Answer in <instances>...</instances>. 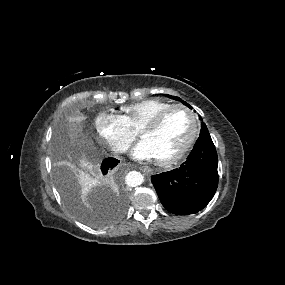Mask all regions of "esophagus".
I'll return each mask as SVG.
<instances>
[{
	"label": "esophagus",
	"mask_w": 285,
	"mask_h": 285,
	"mask_svg": "<svg viewBox=\"0 0 285 285\" xmlns=\"http://www.w3.org/2000/svg\"><path fill=\"white\" fill-rule=\"evenodd\" d=\"M146 175H149L152 173V169L150 167H141L140 168Z\"/></svg>",
	"instance_id": "1"
}]
</instances>
